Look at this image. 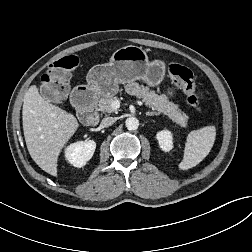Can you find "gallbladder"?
I'll return each mask as SVG.
<instances>
[{"instance_id":"bac80fb5","label":"gallbladder","mask_w":252,"mask_h":252,"mask_svg":"<svg viewBox=\"0 0 252 252\" xmlns=\"http://www.w3.org/2000/svg\"><path fill=\"white\" fill-rule=\"evenodd\" d=\"M41 95L52 103H61L60 97L51 90L47 85H42L40 88Z\"/></svg>"}]
</instances>
